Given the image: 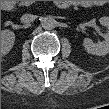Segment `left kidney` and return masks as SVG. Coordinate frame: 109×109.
Instances as JSON below:
<instances>
[{"instance_id":"left-kidney-1","label":"left kidney","mask_w":109,"mask_h":109,"mask_svg":"<svg viewBox=\"0 0 109 109\" xmlns=\"http://www.w3.org/2000/svg\"><path fill=\"white\" fill-rule=\"evenodd\" d=\"M100 23L103 26H109L108 17L100 18ZM105 40L98 44H94L90 38H85L83 41V45L85 50L93 55L103 56L109 53V34L104 36Z\"/></svg>"}]
</instances>
